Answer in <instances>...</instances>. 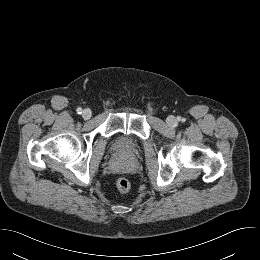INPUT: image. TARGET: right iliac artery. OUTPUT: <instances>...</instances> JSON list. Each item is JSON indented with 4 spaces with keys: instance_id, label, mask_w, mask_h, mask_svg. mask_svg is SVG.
I'll return each instance as SVG.
<instances>
[{
    "instance_id": "right-iliac-artery-1",
    "label": "right iliac artery",
    "mask_w": 260,
    "mask_h": 260,
    "mask_svg": "<svg viewBox=\"0 0 260 260\" xmlns=\"http://www.w3.org/2000/svg\"><path fill=\"white\" fill-rule=\"evenodd\" d=\"M76 111H77L78 114H81L82 113V108L79 107V108H77Z\"/></svg>"
}]
</instances>
